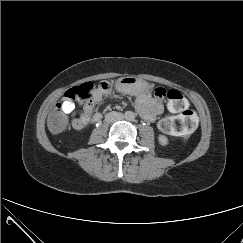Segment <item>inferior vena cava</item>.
I'll use <instances>...</instances> for the list:
<instances>
[{
  "label": "inferior vena cava",
  "instance_id": "602c4592",
  "mask_svg": "<svg viewBox=\"0 0 243 243\" xmlns=\"http://www.w3.org/2000/svg\"><path fill=\"white\" fill-rule=\"evenodd\" d=\"M120 118H121V117H120ZM106 120H107L108 122L113 121V119H109V118H106Z\"/></svg>",
  "mask_w": 243,
  "mask_h": 243
}]
</instances>
